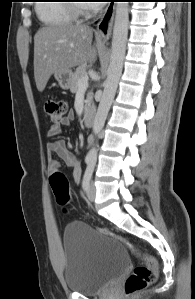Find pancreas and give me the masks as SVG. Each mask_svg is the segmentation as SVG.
<instances>
[{"instance_id": "cf45deb5", "label": "pancreas", "mask_w": 195, "mask_h": 299, "mask_svg": "<svg viewBox=\"0 0 195 299\" xmlns=\"http://www.w3.org/2000/svg\"><path fill=\"white\" fill-rule=\"evenodd\" d=\"M86 70H87L86 64H82L79 67H77L76 71L74 72V74L72 76V82H71V86H70V91L72 93H76L78 91V89H79L78 81L82 77L86 76ZM91 103H92V93H88L86 101H85V110H87V108L90 106Z\"/></svg>"}]
</instances>
